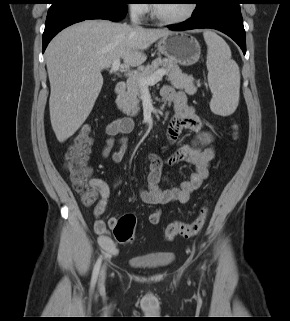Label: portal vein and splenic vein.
Segmentation results:
<instances>
[{"label":"portal vein and splenic vein","instance_id":"obj_1","mask_svg":"<svg viewBox=\"0 0 290 321\" xmlns=\"http://www.w3.org/2000/svg\"><path fill=\"white\" fill-rule=\"evenodd\" d=\"M120 69H121L120 60L117 59V60L113 61L112 66H111V71L117 72ZM165 74H166V71L164 69H158L150 77L141 78L139 80V82L143 87H147V86H149L151 84H154V83L160 81Z\"/></svg>","mask_w":290,"mask_h":321}]
</instances>
